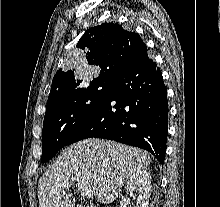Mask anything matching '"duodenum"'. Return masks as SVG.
I'll return each mask as SVG.
<instances>
[{"instance_id":"duodenum-1","label":"duodenum","mask_w":220,"mask_h":207,"mask_svg":"<svg viewBox=\"0 0 220 207\" xmlns=\"http://www.w3.org/2000/svg\"><path fill=\"white\" fill-rule=\"evenodd\" d=\"M77 207H95V206H77Z\"/></svg>"}]
</instances>
